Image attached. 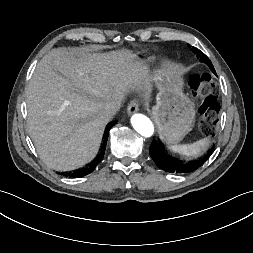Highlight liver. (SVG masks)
Here are the masks:
<instances>
[{
  "label": "liver",
  "mask_w": 253,
  "mask_h": 253,
  "mask_svg": "<svg viewBox=\"0 0 253 253\" xmlns=\"http://www.w3.org/2000/svg\"><path fill=\"white\" fill-rule=\"evenodd\" d=\"M135 86L146 82L130 50L49 51L26 90L28 133L42 161L58 171L91 161L110 120L105 105L122 102Z\"/></svg>",
  "instance_id": "liver-1"
}]
</instances>
